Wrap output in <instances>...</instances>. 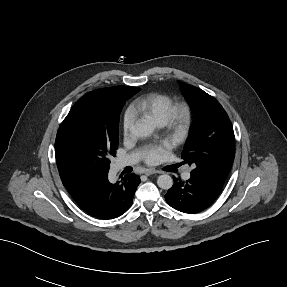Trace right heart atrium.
Instances as JSON below:
<instances>
[{"mask_svg": "<svg viewBox=\"0 0 287 287\" xmlns=\"http://www.w3.org/2000/svg\"><path fill=\"white\" fill-rule=\"evenodd\" d=\"M134 122L135 114L131 109H128L123 116V132L125 135H128L131 132Z\"/></svg>", "mask_w": 287, "mask_h": 287, "instance_id": "right-heart-atrium-1", "label": "right heart atrium"}]
</instances>
